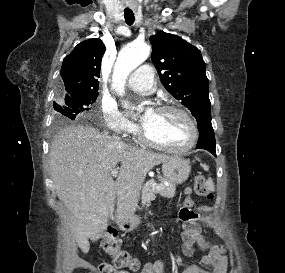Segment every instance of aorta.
<instances>
[{
	"instance_id": "aorta-1",
	"label": "aorta",
	"mask_w": 285,
	"mask_h": 273,
	"mask_svg": "<svg viewBox=\"0 0 285 273\" xmlns=\"http://www.w3.org/2000/svg\"><path fill=\"white\" fill-rule=\"evenodd\" d=\"M150 54V46L145 42H133L119 53L113 72V85L121 94L129 74L142 64Z\"/></svg>"
}]
</instances>
